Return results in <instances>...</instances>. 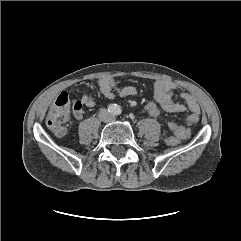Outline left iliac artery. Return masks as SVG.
Masks as SVG:
<instances>
[{"label":"left iliac artery","instance_id":"obj_1","mask_svg":"<svg viewBox=\"0 0 241 241\" xmlns=\"http://www.w3.org/2000/svg\"><path fill=\"white\" fill-rule=\"evenodd\" d=\"M121 112H122V110H121L120 106H116V107H115V114H116V115H120Z\"/></svg>","mask_w":241,"mask_h":241}]
</instances>
